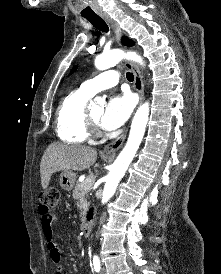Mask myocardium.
<instances>
[{
	"instance_id": "f54148a6",
	"label": "myocardium",
	"mask_w": 221,
	"mask_h": 274,
	"mask_svg": "<svg viewBox=\"0 0 221 274\" xmlns=\"http://www.w3.org/2000/svg\"><path fill=\"white\" fill-rule=\"evenodd\" d=\"M87 117H88V123H89V127H90V131L100 134V129H99V123L98 121L93 118V116L91 115L90 112H87Z\"/></svg>"
}]
</instances>
